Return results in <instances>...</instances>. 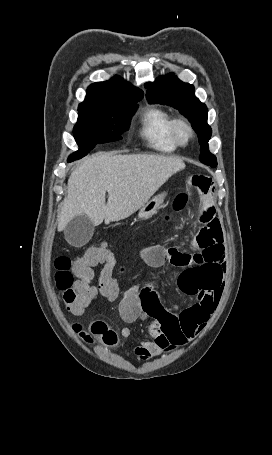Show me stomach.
I'll list each match as a JSON object with an SVG mask.
<instances>
[{"instance_id":"obj_1","label":"stomach","mask_w":272,"mask_h":455,"mask_svg":"<svg viewBox=\"0 0 272 455\" xmlns=\"http://www.w3.org/2000/svg\"><path fill=\"white\" fill-rule=\"evenodd\" d=\"M165 197L166 192L154 196L143 207L140 208L138 212V217L144 220L152 217L162 206Z\"/></svg>"}]
</instances>
